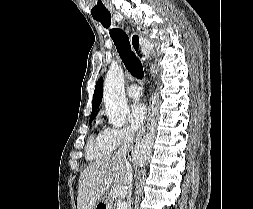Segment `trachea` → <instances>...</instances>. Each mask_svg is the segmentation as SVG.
<instances>
[{"instance_id": "1", "label": "trachea", "mask_w": 253, "mask_h": 209, "mask_svg": "<svg viewBox=\"0 0 253 209\" xmlns=\"http://www.w3.org/2000/svg\"><path fill=\"white\" fill-rule=\"evenodd\" d=\"M105 28H109L111 24V15L95 17ZM110 36L116 46V49L126 66L127 70L136 78L142 79L144 77L143 66L139 58L131 50V45L127 34L117 28L110 30ZM138 49V46L135 47Z\"/></svg>"}]
</instances>
